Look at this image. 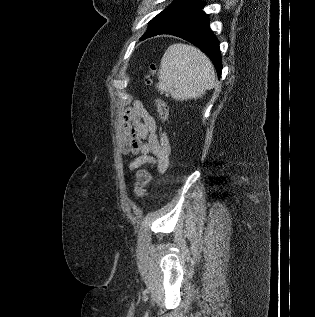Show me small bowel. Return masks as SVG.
I'll return each instance as SVG.
<instances>
[{
    "instance_id": "obj_1",
    "label": "small bowel",
    "mask_w": 315,
    "mask_h": 317,
    "mask_svg": "<svg viewBox=\"0 0 315 317\" xmlns=\"http://www.w3.org/2000/svg\"><path fill=\"white\" fill-rule=\"evenodd\" d=\"M117 144L122 154L134 157L131 170L149 164L163 174L169 167L168 137L158 131L154 116L139 102L127 108L118 120Z\"/></svg>"
}]
</instances>
